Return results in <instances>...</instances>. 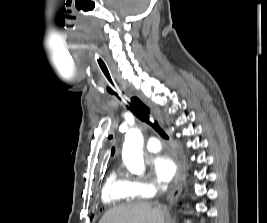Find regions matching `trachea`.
I'll return each instance as SVG.
<instances>
[{"instance_id":"obj_1","label":"trachea","mask_w":267,"mask_h":223,"mask_svg":"<svg viewBox=\"0 0 267 223\" xmlns=\"http://www.w3.org/2000/svg\"><path fill=\"white\" fill-rule=\"evenodd\" d=\"M107 82L110 84V86L114 89L113 94L121 100L123 98L127 102V107L132 109L135 116L141 120L142 122L147 123L150 125L162 138L169 139L168 135L165 133V131L161 128L158 121L154 119V117L150 113V109L138 98V97H132L130 101H128L123 93H121L120 88L118 86V83L114 80V78L111 76L108 68L104 64V66L101 68Z\"/></svg>"}]
</instances>
